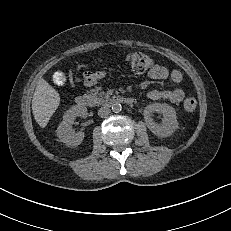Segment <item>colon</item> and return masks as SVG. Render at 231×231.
I'll use <instances>...</instances> for the list:
<instances>
[{"instance_id":"colon-1","label":"colon","mask_w":231,"mask_h":231,"mask_svg":"<svg viewBox=\"0 0 231 231\" xmlns=\"http://www.w3.org/2000/svg\"><path fill=\"white\" fill-rule=\"evenodd\" d=\"M128 67L135 73H144L153 66L152 58L141 52H131L125 58ZM183 108L187 112H194L197 108V100L194 97H187L183 102Z\"/></svg>"}]
</instances>
